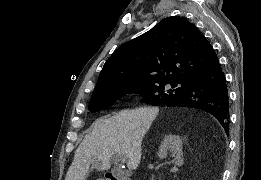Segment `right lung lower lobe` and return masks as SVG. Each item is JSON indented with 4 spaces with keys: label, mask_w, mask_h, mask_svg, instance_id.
<instances>
[{
    "label": "right lung lower lobe",
    "mask_w": 261,
    "mask_h": 180,
    "mask_svg": "<svg viewBox=\"0 0 261 180\" xmlns=\"http://www.w3.org/2000/svg\"><path fill=\"white\" fill-rule=\"evenodd\" d=\"M163 106H184L212 114L228 134L230 114L226 78L220 63L202 68L185 81L183 91L165 101Z\"/></svg>",
    "instance_id": "1"
}]
</instances>
